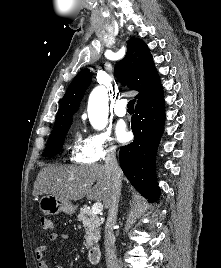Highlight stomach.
I'll return each mask as SVG.
<instances>
[{
	"label": "stomach",
	"instance_id": "stomach-1",
	"mask_svg": "<svg viewBox=\"0 0 221 268\" xmlns=\"http://www.w3.org/2000/svg\"><path fill=\"white\" fill-rule=\"evenodd\" d=\"M39 208L45 215H57L60 212L72 215L76 206L69 201L52 194H46L39 199Z\"/></svg>",
	"mask_w": 221,
	"mask_h": 268
}]
</instances>
